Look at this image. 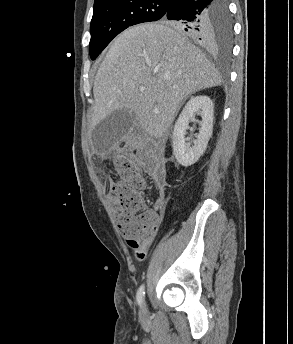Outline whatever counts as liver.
Segmentation results:
<instances>
[{"label":"liver","mask_w":293,"mask_h":344,"mask_svg":"<svg viewBox=\"0 0 293 344\" xmlns=\"http://www.w3.org/2000/svg\"><path fill=\"white\" fill-rule=\"evenodd\" d=\"M221 82L214 65L175 28L131 27L115 38L97 71L92 127L127 109L146 133L161 138L188 95Z\"/></svg>","instance_id":"liver-1"}]
</instances>
